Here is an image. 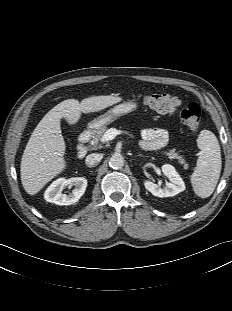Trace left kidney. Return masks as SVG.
<instances>
[{
	"label": "left kidney",
	"instance_id": "obj_1",
	"mask_svg": "<svg viewBox=\"0 0 232 311\" xmlns=\"http://www.w3.org/2000/svg\"><path fill=\"white\" fill-rule=\"evenodd\" d=\"M163 174L169 178L170 182L166 183L164 188H160L151 181H144L145 188L154 196L163 198L175 196L185 190V183L172 165L165 164L162 166Z\"/></svg>",
	"mask_w": 232,
	"mask_h": 311
}]
</instances>
